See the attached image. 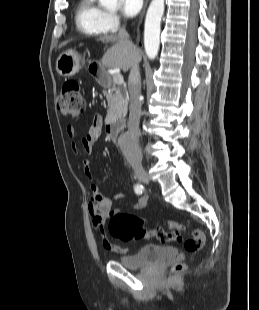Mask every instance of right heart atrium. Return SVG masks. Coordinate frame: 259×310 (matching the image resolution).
<instances>
[{"label":"right heart atrium","instance_id":"right-heart-atrium-1","mask_svg":"<svg viewBox=\"0 0 259 310\" xmlns=\"http://www.w3.org/2000/svg\"><path fill=\"white\" fill-rule=\"evenodd\" d=\"M121 25V18L114 12H106L104 26L107 31H116Z\"/></svg>","mask_w":259,"mask_h":310}]
</instances>
